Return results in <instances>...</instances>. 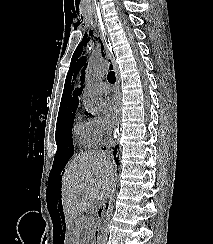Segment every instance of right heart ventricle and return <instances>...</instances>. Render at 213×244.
Returning <instances> with one entry per match:
<instances>
[{
	"mask_svg": "<svg viewBox=\"0 0 213 244\" xmlns=\"http://www.w3.org/2000/svg\"><path fill=\"white\" fill-rule=\"evenodd\" d=\"M73 136L76 143L82 147H91L94 142L91 138L86 122L77 121L73 126Z\"/></svg>",
	"mask_w": 213,
	"mask_h": 244,
	"instance_id": "1",
	"label": "right heart ventricle"
}]
</instances>
